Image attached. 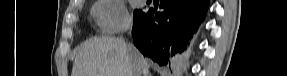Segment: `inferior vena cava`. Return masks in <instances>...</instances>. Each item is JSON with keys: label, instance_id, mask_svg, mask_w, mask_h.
<instances>
[{"label": "inferior vena cava", "instance_id": "1", "mask_svg": "<svg viewBox=\"0 0 287 76\" xmlns=\"http://www.w3.org/2000/svg\"><path fill=\"white\" fill-rule=\"evenodd\" d=\"M127 49H128L129 54L132 56L133 46L128 44ZM133 76H141V71L135 64L133 66Z\"/></svg>", "mask_w": 287, "mask_h": 76}]
</instances>
